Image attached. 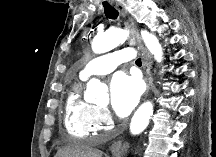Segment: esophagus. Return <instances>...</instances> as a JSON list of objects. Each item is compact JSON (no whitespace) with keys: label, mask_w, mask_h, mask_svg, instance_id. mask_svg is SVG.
Masks as SVG:
<instances>
[{"label":"esophagus","mask_w":216,"mask_h":157,"mask_svg":"<svg viewBox=\"0 0 216 157\" xmlns=\"http://www.w3.org/2000/svg\"><path fill=\"white\" fill-rule=\"evenodd\" d=\"M111 4L113 6H115V8L119 11V13L121 14L122 17H125L127 15V11H126V9L122 3L115 1V0H112ZM134 37H136L138 39V41L140 42V38H139L138 34H134ZM140 49L143 52V66L145 69V81L147 83V88H148V80H149V75H150L148 57L146 55V51L144 50L143 46H140ZM120 148H121V141L120 140L114 142L110 147L111 151H113V152L119 151Z\"/></svg>","instance_id":"obj_1"}]
</instances>
